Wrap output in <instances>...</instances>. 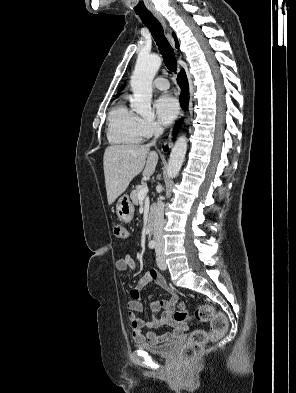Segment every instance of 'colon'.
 Segmentation results:
<instances>
[{
	"instance_id": "colon-1",
	"label": "colon",
	"mask_w": 296,
	"mask_h": 393,
	"mask_svg": "<svg viewBox=\"0 0 296 393\" xmlns=\"http://www.w3.org/2000/svg\"><path fill=\"white\" fill-rule=\"evenodd\" d=\"M113 231L118 239H126L128 236L126 228L122 225L114 224ZM171 317L178 323L190 324L192 321L182 305L174 308ZM196 317L200 321L210 323V332L196 330L191 333L181 350V358L187 365H190L200 355L209 340L223 336L228 327L226 317L213 304L199 306L196 310Z\"/></svg>"
}]
</instances>
